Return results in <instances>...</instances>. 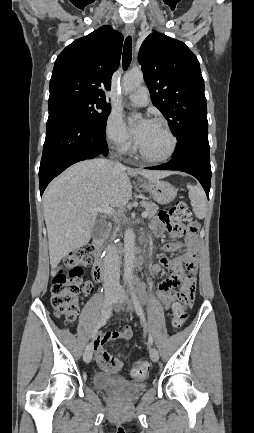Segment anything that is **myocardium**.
Masks as SVG:
<instances>
[{"label":"myocardium","mask_w":254,"mask_h":433,"mask_svg":"<svg viewBox=\"0 0 254 433\" xmlns=\"http://www.w3.org/2000/svg\"><path fill=\"white\" fill-rule=\"evenodd\" d=\"M152 122L161 125L164 128V130L166 131V133L168 134V136L170 137L171 145H170L168 152L161 157H151V156L147 155L140 148L138 141L136 142V150L143 160H145L147 162H151V163H162V162L169 160L174 155V153L177 149L178 141H177V138H176L175 134L173 133L172 129L170 128L169 124L165 120H163L161 118H154L152 120Z\"/></svg>","instance_id":"obj_1"}]
</instances>
